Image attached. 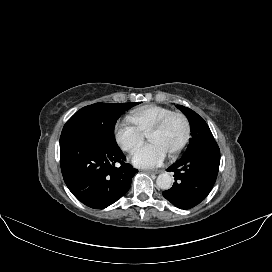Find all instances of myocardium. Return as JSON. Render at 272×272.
<instances>
[{
	"label": "myocardium",
	"instance_id": "1",
	"mask_svg": "<svg viewBox=\"0 0 272 272\" xmlns=\"http://www.w3.org/2000/svg\"><path fill=\"white\" fill-rule=\"evenodd\" d=\"M175 118L182 120L184 124V135L180 143L171 152L168 153L169 157H175L181 153L190 140L191 125L187 116L181 112H172L159 120L148 132L150 133L162 131L169 124V122Z\"/></svg>",
	"mask_w": 272,
	"mask_h": 272
}]
</instances>
